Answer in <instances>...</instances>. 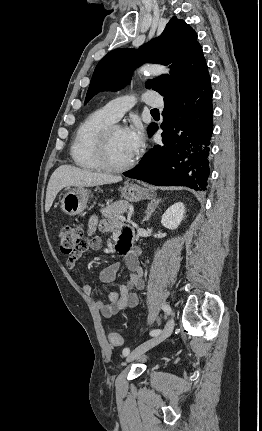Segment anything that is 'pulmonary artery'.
I'll return each mask as SVG.
<instances>
[{
	"instance_id": "pulmonary-artery-1",
	"label": "pulmonary artery",
	"mask_w": 262,
	"mask_h": 431,
	"mask_svg": "<svg viewBox=\"0 0 262 431\" xmlns=\"http://www.w3.org/2000/svg\"><path fill=\"white\" fill-rule=\"evenodd\" d=\"M140 99L145 104L153 107H162L164 104L160 95L153 91L144 92ZM137 101L138 97L136 96L124 95L109 101L103 109L114 121H117L125 112L132 108Z\"/></svg>"
}]
</instances>
